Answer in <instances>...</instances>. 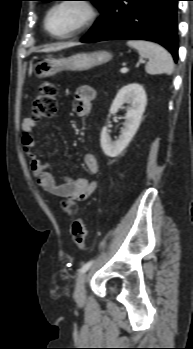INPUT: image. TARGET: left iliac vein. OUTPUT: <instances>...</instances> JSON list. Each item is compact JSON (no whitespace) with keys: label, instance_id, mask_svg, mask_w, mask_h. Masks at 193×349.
Here are the masks:
<instances>
[{"label":"left iliac vein","instance_id":"left-iliac-vein-1","mask_svg":"<svg viewBox=\"0 0 193 349\" xmlns=\"http://www.w3.org/2000/svg\"><path fill=\"white\" fill-rule=\"evenodd\" d=\"M85 282L86 273L84 272L77 277L75 283L74 300L78 305H83L86 300Z\"/></svg>","mask_w":193,"mask_h":349}]
</instances>
